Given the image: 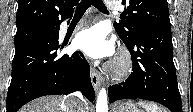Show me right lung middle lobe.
I'll list each match as a JSON object with an SVG mask.
<instances>
[{"instance_id":"1","label":"right lung middle lobe","mask_w":193,"mask_h":112,"mask_svg":"<svg viewBox=\"0 0 193 112\" xmlns=\"http://www.w3.org/2000/svg\"><path fill=\"white\" fill-rule=\"evenodd\" d=\"M55 27L56 26L37 27V28L17 31L15 35V46L22 42L28 41L34 37H37L45 32H48L49 30H52Z\"/></svg>"}]
</instances>
